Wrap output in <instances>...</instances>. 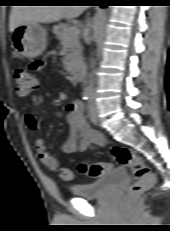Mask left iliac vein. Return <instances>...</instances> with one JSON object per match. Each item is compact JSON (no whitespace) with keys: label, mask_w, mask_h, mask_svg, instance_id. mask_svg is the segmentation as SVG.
I'll return each instance as SVG.
<instances>
[{"label":"left iliac vein","mask_w":170,"mask_h":231,"mask_svg":"<svg viewBox=\"0 0 170 231\" xmlns=\"http://www.w3.org/2000/svg\"><path fill=\"white\" fill-rule=\"evenodd\" d=\"M97 111H98V107L97 104L95 103L94 95L91 94L90 101H89L88 115L93 124L98 123Z\"/></svg>","instance_id":"obj_1"}]
</instances>
